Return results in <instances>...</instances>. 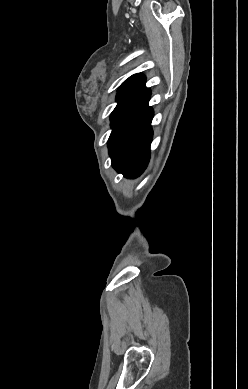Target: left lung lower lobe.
<instances>
[{"instance_id":"0a47b994","label":"left lung lower lobe","mask_w":248,"mask_h":389,"mask_svg":"<svg viewBox=\"0 0 248 389\" xmlns=\"http://www.w3.org/2000/svg\"><path fill=\"white\" fill-rule=\"evenodd\" d=\"M150 90L141 75L116 96L108 140L112 166L128 178L139 176L149 161L153 110L148 106Z\"/></svg>"}]
</instances>
